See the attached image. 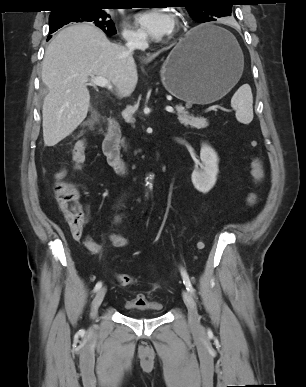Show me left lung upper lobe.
Returning <instances> with one entry per match:
<instances>
[{"mask_svg":"<svg viewBox=\"0 0 306 387\" xmlns=\"http://www.w3.org/2000/svg\"><path fill=\"white\" fill-rule=\"evenodd\" d=\"M231 0H183L184 7L198 22L215 21L216 18L231 16Z\"/></svg>","mask_w":306,"mask_h":387,"instance_id":"5c2ea615","label":"left lung upper lobe"}]
</instances>
